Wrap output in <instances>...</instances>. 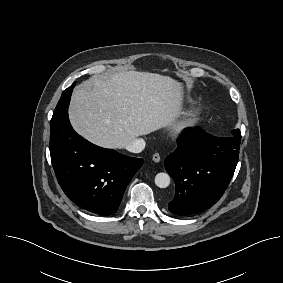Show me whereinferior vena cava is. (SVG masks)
<instances>
[{
	"instance_id": "inferior-vena-cava-1",
	"label": "inferior vena cava",
	"mask_w": 283,
	"mask_h": 283,
	"mask_svg": "<svg viewBox=\"0 0 283 283\" xmlns=\"http://www.w3.org/2000/svg\"><path fill=\"white\" fill-rule=\"evenodd\" d=\"M126 150L132 153H140L145 148V141L142 138H136L125 146Z\"/></svg>"
}]
</instances>
